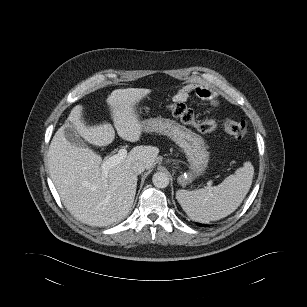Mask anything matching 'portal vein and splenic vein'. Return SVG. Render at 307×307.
I'll return each instance as SVG.
<instances>
[{
    "label": "portal vein and splenic vein",
    "instance_id": "1",
    "mask_svg": "<svg viewBox=\"0 0 307 307\" xmlns=\"http://www.w3.org/2000/svg\"><path fill=\"white\" fill-rule=\"evenodd\" d=\"M127 155V150L125 148L119 149L118 153L109 157L101 164V169L103 175L106 177L108 171L115 165L119 164Z\"/></svg>",
    "mask_w": 307,
    "mask_h": 307
}]
</instances>
